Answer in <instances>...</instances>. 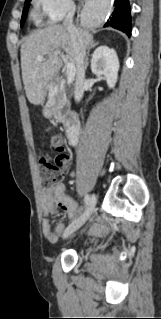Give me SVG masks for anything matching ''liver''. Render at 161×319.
<instances>
[{"label":"liver","instance_id":"obj_1","mask_svg":"<svg viewBox=\"0 0 161 319\" xmlns=\"http://www.w3.org/2000/svg\"><path fill=\"white\" fill-rule=\"evenodd\" d=\"M83 43L82 49L93 43V35L84 29H77ZM64 50L67 59L76 61L69 31L64 25H53L30 35L21 46L22 78L26 96L31 104L44 102L48 89L62 67V59L57 52ZM47 58L38 61L39 56Z\"/></svg>","mask_w":161,"mask_h":319}]
</instances>
